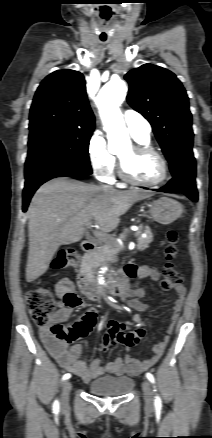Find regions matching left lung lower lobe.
I'll list each match as a JSON object with an SVG mask.
<instances>
[{"instance_id": "0a47b994", "label": "left lung lower lobe", "mask_w": 212, "mask_h": 438, "mask_svg": "<svg viewBox=\"0 0 212 438\" xmlns=\"http://www.w3.org/2000/svg\"><path fill=\"white\" fill-rule=\"evenodd\" d=\"M169 163L173 177L167 185L156 191L166 193L182 192L192 201L197 202L196 162L192 149L180 152L169 160Z\"/></svg>"}]
</instances>
